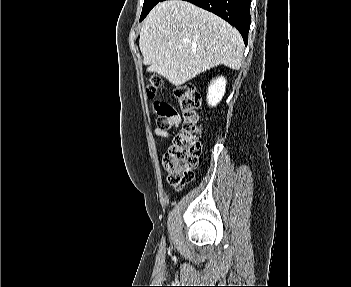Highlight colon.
Listing matches in <instances>:
<instances>
[{
  "mask_svg": "<svg viewBox=\"0 0 351 287\" xmlns=\"http://www.w3.org/2000/svg\"><path fill=\"white\" fill-rule=\"evenodd\" d=\"M160 78L152 76L146 85L148 97H154L160 85ZM179 107L183 117L181 131L174 137L172 145L164 155L163 165L168 171V179L176 190H182L192 181L198 158L201 153L199 136L202 132L200 126V95L192 83L181 85L176 90ZM158 115L157 125L160 129H169L172 119L177 115L174 107L165 102L155 103Z\"/></svg>",
  "mask_w": 351,
  "mask_h": 287,
  "instance_id": "5ec220e1",
  "label": "colon"
}]
</instances>
